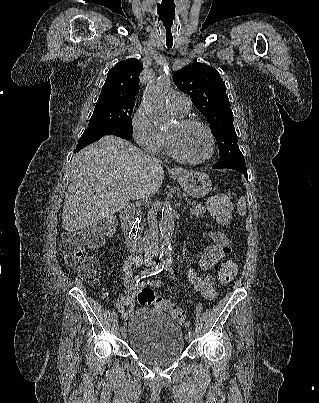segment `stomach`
Wrapping results in <instances>:
<instances>
[{
    "label": "stomach",
    "instance_id": "0dacf381",
    "mask_svg": "<svg viewBox=\"0 0 319 403\" xmlns=\"http://www.w3.org/2000/svg\"><path fill=\"white\" fill-rule=\"evenodd\" d=\"M175 177L183 190L193 198H203L212 189L210 177L203 172L182 171Z\"/></svg>",
    "mask_w": 319,
    "mask_h": 403
}]
</instances>
